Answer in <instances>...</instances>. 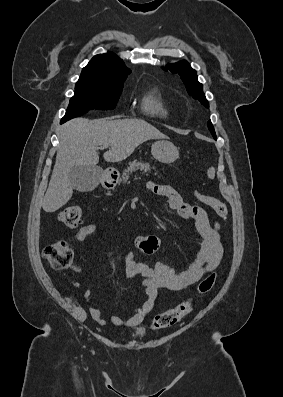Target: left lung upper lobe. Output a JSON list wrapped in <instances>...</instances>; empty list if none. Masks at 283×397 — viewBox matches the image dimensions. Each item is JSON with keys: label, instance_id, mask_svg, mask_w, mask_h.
<instances>
[{"label": "left lung upper lobe", "instance_id": "5c2ea615", "mask_svg": "<svg viewBox=\"0 0 283 397\" xmlns=\"http://www.w3.org/2000/svg\"><path fill=\"white\" fill-rule=\"evenodd\" d=\"M163 69L165 71L169 70L174 74H179L187 87L188 93L192 95L195 99L200 101L201 104H203L205 107L208 106L207 100L205 98V94L203 92V85L198 82L196 71L191 68L188 62L180 61L175 64H170ZM208 128L211 134L213 135V137L216 138L214 127L211 121L208 122Z\"/></svg>", "mask_w": 283, "mask_h": 397}]
</instances>
